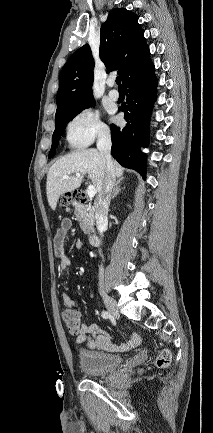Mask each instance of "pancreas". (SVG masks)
<instances>
[{"instance_id":"cf45deb5","label":"pancreas","mask_w":213,"mask_h":433,"mask_svg":"<svg viewBox=\"0 0 213 433\" xmlns=\"http://www.w3.org/2000/svg\"><path fill=\"white\" fill-rule=\"evenodd\" d=\"M74 214L80 222V227L85 234L90 235L94 225V209L90 205L75 203Z\"/></svg>"}]
</instances>
